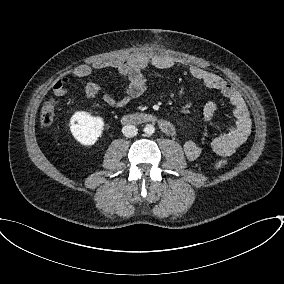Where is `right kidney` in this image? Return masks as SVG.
Returning a JSON list of instances; mask_svg holds the SVG:
<instances>
[{
	"label": "right kidney",
	"instance_id": "obj_1",
	"mask_svg": "<svg viewBox=\"0 0 284 284\" xmlns=\"http://www.w3.org/2000/svg\"><path fill=\"white\" fill-rule=\"evenodd\" d=\"M104 130L102 117H93L88 112L77 111L70 119V131L73 137L82 145H94Z\"/></svg>",
	"mask_w": 284,
	"mask_h": 284
}]
</instances>
